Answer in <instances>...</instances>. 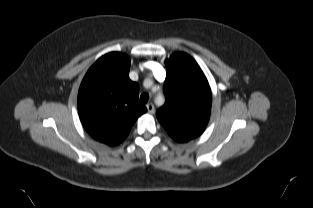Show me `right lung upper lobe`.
Here are the masks:
<instances>
[{
  "instance_id": "obj_1",
  "label": "right lung upper lobe",
  "mask_w": 313,
  "mask_h": 208,
  "mask_svg": "<svg viewBox=\"0 0 313 208\" xmlns=\"http://www.w3.org/2000/svg\"><path fill=\"white\" fill-rule=\"evenodd\" d=\"M130 59L111 52L88 70L78 92V112L87 132L97 141L116 146L147 111L138 101L139 86L129 79Z\"/></svg>"
}]
</instances>
